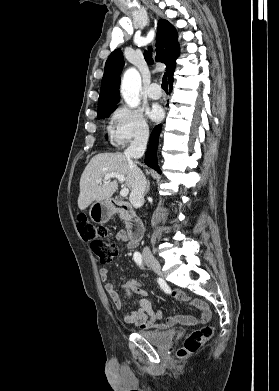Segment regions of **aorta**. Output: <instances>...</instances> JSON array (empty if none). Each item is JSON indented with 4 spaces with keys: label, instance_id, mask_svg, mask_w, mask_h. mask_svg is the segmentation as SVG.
<instances>
[{
    "label": "aorta",
    "instance_id": "obj_1",
    "mask_svg": "<svg viewBox=\"0 0 279 391\" xmlns=\"http://www.w3.org/2000/svg\"><path fill=\"white\" fill-rule=\"evenodd\" d=\"M141 77L135 68H129L123 75L121 83V95L130 108H136L140 104L139 91Z\"/></svg>",
    "mask_w": 279,
    "mask_h": 391
}]
</instances>
